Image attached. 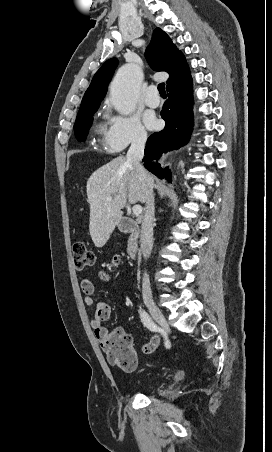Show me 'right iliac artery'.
Listing matches in <instances>:
<instances>
[{"mask_svg":"<svg viewBox=\"0 0 272 452\" xmlns=\"http://www.w3.org/2000/svg\"><path fill=\"white\" fill-rule=\"evenodd\" d=\"M141 320L145 327H147L150 331L157 332L158 326L156 323L151 319V317L147 314V312L142 311L141 312Z\"/></svg>","mask_w":272,"mask_h":452,"instance_id":"obj_1","label":"right iliac artery"}]
</instances>
